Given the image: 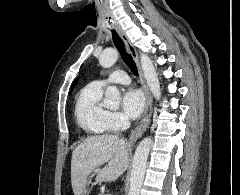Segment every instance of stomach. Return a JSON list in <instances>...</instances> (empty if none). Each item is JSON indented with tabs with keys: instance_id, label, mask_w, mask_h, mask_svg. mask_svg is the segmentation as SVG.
Wrapping results in <instances>:
<instances>
[{
	"instance_id": "stomach-1",
	"label": "stomach",
	"mask_w": 240,
	"mask_h": 195,
	"mask_svg": "<svg viewBox=\"0 0 240 195\" xmlns=\"http://www.w3.org/2000/svg\"><path fill=\"white\" fill-rule=\"evenodd\" d=\"M91 177L92 175H90L89 179H87L86 183H84V187L80 193V195H90L91 193Z\"/></svg>"
}]
</instances>
